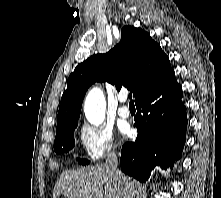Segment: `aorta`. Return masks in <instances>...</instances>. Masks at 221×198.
<instances>
[{
  "label": "aorta",
  "instance_id": "1",
  "mask_svg": "<svg viewBox=\"0 0 221 198\" xmlns=\"http://www.w3.org/2000/svg\"><path fill=\"white\" fill-rule=\"evenodd\" d=\"M106 101L99 88H93L86 96L84 113L89 123L99 126L105 118Z\"/></svg>",
  "mask_w": 221,
  "mask_h": 198
}]
</instances>
